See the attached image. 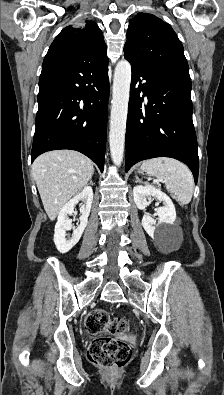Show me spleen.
I'll list each match as a JSON object with an SVG mask.
<instances>
[{
  "label": "spleen",
  "instance_id": "obj_1",
  "mask_svg": "<svg viewBox=\"0 0 224 395\" xmlns=\"http://www.w3.org/2000/svg\"><path fill=\"white\" fill-rule=\"evenodd\" d=\"M141 169L162 181L167 191L174 194L181 204L191 201L193 176L189 168L180 161L167 157L148 159L142 163Z\"/></svg>",
  "mask_w": 224,
  "mask_h": 395
}]
</instances>
